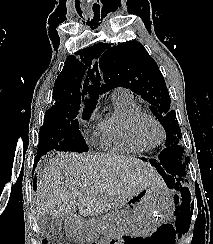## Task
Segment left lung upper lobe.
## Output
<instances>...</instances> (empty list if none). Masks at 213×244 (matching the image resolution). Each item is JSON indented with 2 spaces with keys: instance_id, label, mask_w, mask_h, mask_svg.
I'll return each instance as SVG.
<instances>
[{
  "instance_id": "1",
  "label": "left lung upper lobe",
  "mask_w": 213,
  "mask_h": 244,
  "mask_svg": "<svg viewBox=\"0 0 213 244\" xmlns=\"http://www.w3.org/2000/svg\"><path fill=\"white\" fill-rule=\"evenodd\" d=\"M100 54L99 67L103 73L105 91L124 87L151 104L150 110L166 131V148L161 153H166L170 158L171 173L175 180L187 182L185 168L188 159L182 158L184 150L178 145L182 137L181 130L175 111L170 110L169 92L157 63L137 41L116 46L106 44ZM99 75L98 71V79Z\"/></svg>"
}]
</instances>
